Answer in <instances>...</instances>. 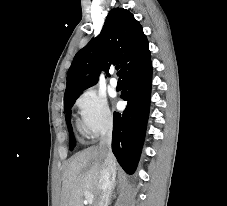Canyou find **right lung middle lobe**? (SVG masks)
I'll list each match as a JSON object with an SVG mask.
<instances>
[{
  "label": "right lung middle lobe",
  "mask_w": 227,
  "mask_h": 206,
  "mask_svg": "<svg viewBox=\"0 0 227 206\" xmlns=\"http://www.w3.org/2000/svg\"><path fill=\"white\" fill-rule=\"evenodd\" d=\"M78 96L79 95L71 96L69 98L64 99V113H66V121H67L68 130L70 134V150H73V147L75 146V138L73 135V130H72L71 121H70V114H71L70 108L74 104Z\"/></svg>",
  "instance_id": "1"
}]
</instances>
